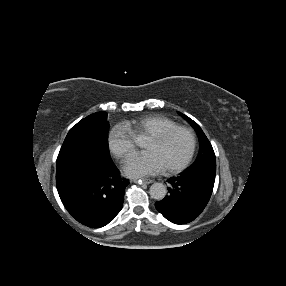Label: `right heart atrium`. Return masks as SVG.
<instances>
[{"mask_svg": "<svg viewBox=\"0 0 286 286\" xmlns=\"http://www.w3.org/2000/svg\"><path fill=\"white\" fill-rule=\"evenodd\" d=\"M107 144L110 152L118 159H125L136 148L135 139L122 125H116L109 131Z\"/></svg>", "mask_w": 286, "mask_h": 286, "instance_id": "obj_1", "label": "right heart atrium"}]
</instances>
